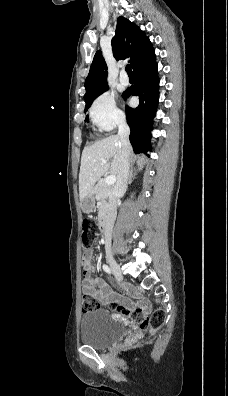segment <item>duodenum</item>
I'll return each mask as SVG.
<instances>
[{"mask_svg":"<svg viewBox=\"0 0 228 396\" xmlns=\"http://www.w3.org/2000/svg\"><path fill=\"white\" fill-rule=\"evenodd\" d=\"M99 227L101 232L106 235L108 233V220L106 218H101L99 220Z\"/></svg>","mask_w":228,"mask_h":396,"instance_id":"410a0bca","label":"duodenum"}]
</instances>
